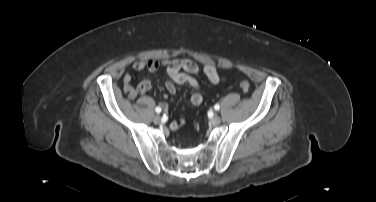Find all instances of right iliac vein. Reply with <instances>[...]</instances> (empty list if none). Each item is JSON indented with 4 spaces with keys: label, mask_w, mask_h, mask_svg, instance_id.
I'll return each mask as SVG.
<instances>
[{
    "label": "right iliac vein",
    "mask_w": 376,
    "mask_h": 202,
    "mask_svg": "<svg viewBox=\"0 0 376 202\" xmlns=\"http://www.w3.org/2000/svg\"><path fill=\"white\" fill-rule=\"evenodd\" d=\"M161 121V117L159 116V115H156L155 117H154V122L155 123H159Z\"/></svg>",
    "instance_id": "obj_1"
}]
</instances>
